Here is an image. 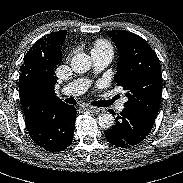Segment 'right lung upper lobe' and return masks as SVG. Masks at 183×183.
<instances>
[{
  "instance_id": "obj_1",
  "label": "right lung upper lobe",
  "mask_w": 183,
  "mask_h": 183,
  "mask_svg": "<svg viewBox=\"0 0 183 183\" xmlns=\"http://www.w3.org/2000/svg\"><path fill=\"white\" fill-rule=\"evenodd\" d=\"M66 31H58L38 40L26 53L20 67L19 96L23 111L42 103L62 102L54 92L56 65L62 60L61 45Z\"/></svg>"
}]
</instances>
